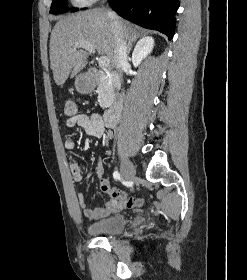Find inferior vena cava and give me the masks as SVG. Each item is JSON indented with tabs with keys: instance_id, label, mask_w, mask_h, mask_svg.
Returning <instances> with one entry per match:
<instances>
[{
	"instance_id": "1",
	"label": "inferior vena cava",
	"mask_w": 247,
	"mask_h": 280,
	"mask_svg": "<svg viewBox=\"0 0 247 280\" xmlns=\"http://www.w3.org/2000/svg\"><path fill=\"white\" fill-rule=\"evenodd\" d=\"M107 15L111 20V29L115 38V49L114 58L115 66L120 74H122L123 68L128 63V46H127V36L125 34L123 25L117 15L111 11H107Z\"/></svg>"
}]
</instances>
